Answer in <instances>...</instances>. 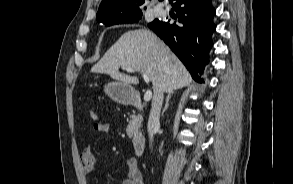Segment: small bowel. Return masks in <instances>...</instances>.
Here are the masks:
<instances>
[{
	"instance_id": "c3829d8e",
	"label": "small bowel",
	"mask_w": 293,
	"mask_h": 184,
	"mask_svg": "<svg viewBox=\"0 0 293 184\" xmlns=\"http://www.w3.org/2000/svg\"><path fill=\"white\" fill-rule=\"evenodd\" d=\"M93 129L96 132L108 133L110 131V124L107 122H96L93 125ZM82 171L85 174L91 173L96 164V159L93 154L90 145L84 147L80 155ZM127 177L122 181L121 184H144L142 173L138 165V161L135 158H129L126 161Z\"/></svg>"
}]
</instances>
